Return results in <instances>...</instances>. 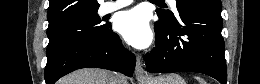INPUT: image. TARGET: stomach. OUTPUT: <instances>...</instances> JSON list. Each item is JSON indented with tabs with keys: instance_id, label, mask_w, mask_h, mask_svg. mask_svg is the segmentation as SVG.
<instances>
[{
	"instance_id": "0dacf381",
	"label": "stomach",
	"mask_w": 260,
	"mask_h": 84,
	"mask_svg": "<svg viewBox=\"0 0 260 84\" xmlns=\"http://www.w3.org/2000/svg\"><path fill=\"white\" fill-rule=\"evenodd\" d=\"M147 84H186V82L180 75L171 73L154 77Z\"/></svg>"
}]
</instances>
